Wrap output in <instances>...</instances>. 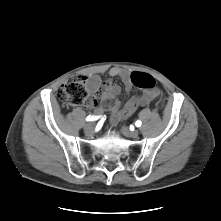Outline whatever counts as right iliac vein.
Instances as JSON below:
<instances>
[{"label": "right iliac vein", "mask_w": 221, "mask_h": 221, "mask_svg": "<svg viewBox=\"0 0 221 221\" xmlns=\"http://www.w3.org/2000/svg\"><path fill=\"white\" fill-rule=\"evenodd\" d=\"M95 129V124L94 123H88L85 125L84 130L87 134H92Z\"/></svg>", "instance_id": "63e3f726"}]
</instances>
